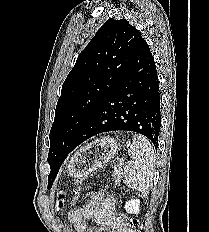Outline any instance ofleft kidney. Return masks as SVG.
Wrapping results in <instances>:
<instances>
[{
  "instance_id": "5707ae66",
  "label": "left kidney",
  "mask_w": 209,
  "mask_h": 232,
  "mask_svg": "<svg viewBox=\"0 0 209 232\" xmlns=\"http://www.w3.org/2000/svg\"><path fill=\"white\" fill-rule=\"evenodd\" d=\"M140 200L139 199H131L125 203V210L131 214L139 213Z\"/></svg>"
}]
</instances>
